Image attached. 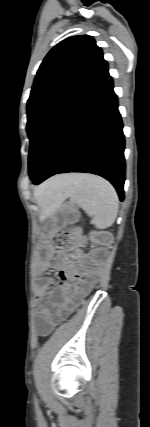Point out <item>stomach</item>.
<instances>
[{"label": "stomach", "mask_w": 150, "mask_h": 427, "mask_svg": "<svg viewBox=\"0 0 150 427\" xmlns=\"http://www.w3.org/2000/svg\"><path fill=\"white\" fill-rule=\"evenodd\" d=\"M62 202V201H61ZM63 208H68L67 204L62 205Z\"/></svg>", "instance_id": "obj_1"}]
</instances>
